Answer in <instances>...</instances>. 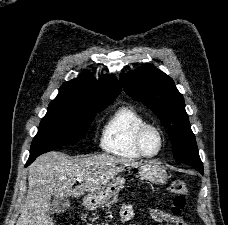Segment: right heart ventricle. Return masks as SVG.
I'll use <instances>...</instances> for the list:
<instances>
[{
    "label": "right heart ventricle",
    "instance_id": "e07e8e85",
    "mask_svg": "<svg viewBox=\"0 0 228 225\" xmlns=\"http://www.w3.org/2000/svg\"><path fill=\"white\" fill-rule=\"evenodd\" d=\"M147 120L133 106H121L106 120L100 136L101 148L114 156L130 159L145 157L137 148L136 135Z\"/></svg>",
    "mask_w": 228,
    "mask_h": 225
}]
</instances>
